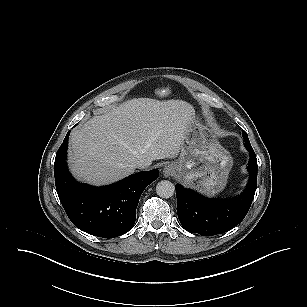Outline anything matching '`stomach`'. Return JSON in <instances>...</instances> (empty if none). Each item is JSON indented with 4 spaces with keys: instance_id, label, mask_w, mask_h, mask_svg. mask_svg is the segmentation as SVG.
I'll use <instances>...</instances> for the list:
<instances>
[{
    "instance_id": "stomach-1",
    "label": "stomach",
    "mask_w": 307,
    "mask_h": 307,
    "mask_svg": "<svg viewBox=\"0 0 307 307\" xmlns=\"http://www.w3.org/2000/svg\"><path fill=\"white\" fill-rule=\"evenodd\" d=\"M232 164L230 153L194 114L187 123L180 157L172 163L177 178L190 188L214 196L225 188Z\"/></svg>"
}]
</instances>
